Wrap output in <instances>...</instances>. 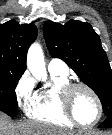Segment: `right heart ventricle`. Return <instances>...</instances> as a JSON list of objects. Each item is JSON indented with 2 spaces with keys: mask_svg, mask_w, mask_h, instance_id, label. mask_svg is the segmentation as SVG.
I'll return each mask as SVG.
<instances>
[{
  "mask_svg": "<svg viewBox=\"0 0 112 135\" xmlns=\"http://www.w3.org/2000/svg\"><path fill=\"white\" fill-rule=\"evenodd\" d=\"M50 77L51 85L36 93L26 113L36 121L62 127L73 126L74 124L64 114L59 101V90L70 83L68 75L50 73Z\"/></svg>",
  "mask_w": 112,
  "mask_h": 135,
  "instance_id": "e07e8e85",
  "label": "right heart ventricle"
}]
</instances>
